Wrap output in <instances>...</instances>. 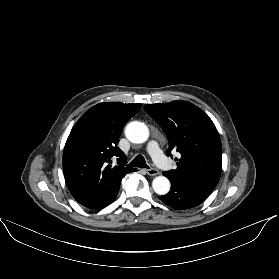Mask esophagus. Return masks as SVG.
Masks as SVG:
<instances>
[{"label":"esophagus","mask_w":279,"mask_h":279,"mask_svg":"<svg viewBox=\"0 0 279 279\" xmlns=\"http://www.w3.org/2000/svg\"><path fill=\"white\" fill-rule=\"evenodd\" d=\"M146 173L150 176H156L159 174V171L155 168L146 169Z\"/></svg>","instance_id":"1"}]
</instances>
